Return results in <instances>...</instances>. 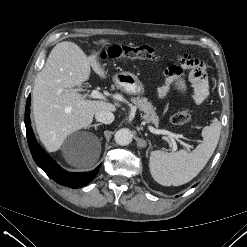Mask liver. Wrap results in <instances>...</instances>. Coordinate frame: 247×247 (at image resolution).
<instances>
[{
  "label": "liver",
  "mask_w": 247,
  "mask_h": 247,
  "mask_svg": "<svg viewBox=\"0 0 247 247\" xmlns=\"http://www.w3.org/2000/svg\"><path fill=\"white\" fill-rule=\"evenodd\" d=\"M107 43L106 39L96 42L98 45ZM90 66L100 77H107L98 60V52L87 56L74 42L63 41L52 49L35 79L32 91L34 120L39 138L50 152L60 149L71 133L87 128L97 111H116L115 105L86 99V95L73 89L89 79ZM99 156L100 143L88 157L70 159L69 163L89 168L95 165Z\"/></svg>",
  "instance_id": "1"
}]
</instances>
